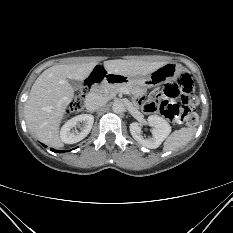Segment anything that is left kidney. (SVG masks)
I'll use <instances>...</instances> for the list:
<instances>
[{
    "mask_svg": "<svg viewBox=\"0 0 233 233\" xmlns=\"http://www.w3.org/2000/svg\"><path fill=\"white\" fill-rule=\"evenodd\" d=\"M148 124L154 127L152 130L153 137L144 138L141 135V127L137 122H133L130 124V133L132 137L142 146L150 149L158 148L170 134L171 127L165 119L157 115L149 116Z\"/></svg>",
    "mask_w": 233,
    "mask_h": 233,
    "instance_id": "5707ae66",
    "label": "left kidney"
}]
</instances>
